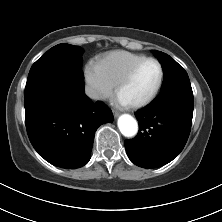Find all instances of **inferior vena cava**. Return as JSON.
Masks as SVG:
<instances>
[{"instance_id":"obj_1","label":"inferior vena cava","mask_w":222,"mask_h":222,"mask_svg":"<svg viewBox=\"0 0 222 222\" xmlns=\"http://www.w3.org/2000/svg\"><path fill=\"white\" fill-rule=\"evenodd\" d=\"M85 93L91 99H98L100 97L99 92L90 86H86Z\"/></svg>"}]
</instances>
